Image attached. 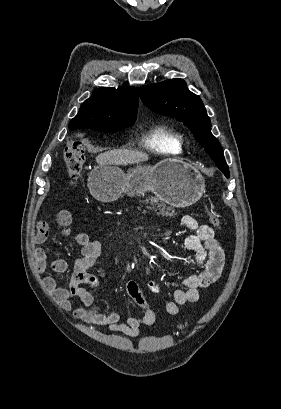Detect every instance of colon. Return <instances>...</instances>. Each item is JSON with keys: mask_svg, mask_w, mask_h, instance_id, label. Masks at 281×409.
<instances>
[{"mask_svg": "<svg viewBox=\"0 0 281 409\" xmlns=\"http://www.w3.org/2000/svg\"><path fill=\"white\" fill-rule=\"evenodd\" d=\"M63 161H64V165H65L67 173L70 176H76L77 173L81 170L83 163H84L82 145L76 141H71L68 147L65 149ZM208 217H209V221L214 226L220 225V217L216 212L209 210ZM181 327L185 328L186 324L182 323Z\"/></svg>", "mask_w": 281, "mask_h": 409, "instance_id": "obj_1", "label": "colon"}]
</instances>
